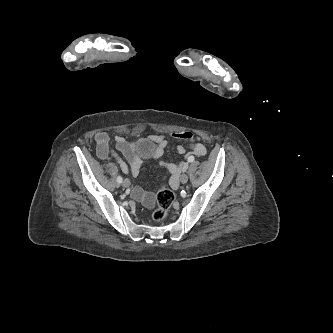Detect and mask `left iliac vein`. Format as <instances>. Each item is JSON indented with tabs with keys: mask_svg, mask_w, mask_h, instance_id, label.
<instances>
[{
	"mask_svg": "<svg viewBox=\"0 0 333 333\" xmlns=\"http://www.w3.org/2000/svg\"><path fill=\"white\" fill-rule=\"evenodd\" d=\"M180 182L182 183V184H185V183H187V181H188V176H187V174H185V173H183V174H181L180 175Z\"/></svg>",
	"mask_w": 333,
	"mask_h": 333,
	"instance_id": "1",
	"label": "left iliac vein"
}]
</instances>
